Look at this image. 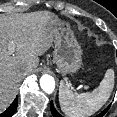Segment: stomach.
I'll return each instance as SVG.
<instances>
[{
	"mask_svg": "<svg viewBox=\"0 0 117 117\" xmlns=\"http://www.w3.org/2000/svg\"><path fill=\"white\" fill-rule=\"evenodd\" d=\"M82 50L68 21L58 19L54 26V61L62 73H75L81 67Z\"/></svg>",
	"mask_w": 117,
	"mask_h": 117,
	"instance_id": "stomach-1",
	"label": "stomach"
}]
</instances>
